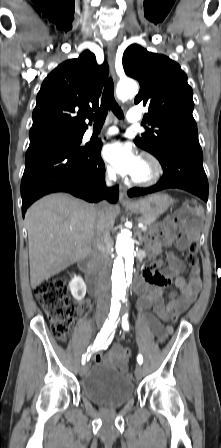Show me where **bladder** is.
Returning a JSON list of instances; mask_svg holds the SVG:
<instances>
[{
    "label": "bladder",
    "mask_w": 221,
    "mask_h": 448,
    "mask_svg": "<svg viewBox=\"0 0 221 448\" xmlns=\"http://www.w3.org/2000/svg\"><path fill=\"white\" fill-rule=\"evenodd\" d=\"M80 389L88 400L104 407H121L134 397L132 379L107 361L82 376Z\"/></svg>",
    "instance_id": "1"
}]
</instances>
